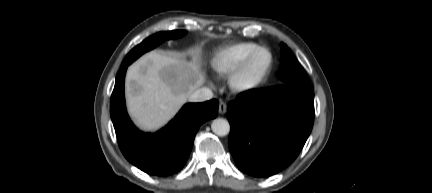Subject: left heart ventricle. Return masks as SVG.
I'll return each instance as SVG.
<instances>
[{"label": "left heart ventricle", "instance_id": "b2bd125f", "mask_svg": "<svg viewBox=\"0 0 432 193\" xmlns=\"http://www.w3.org/2000/svg\"><path fill=\"white\" fill-rule=\"evenodd\" d=\"M269 62V54L266 51L260 52L250 65L247 77L252 79L260 76L266 69Z\"/></svg>", "mask_w": 432, "mask_h": 193}]
</instances>
